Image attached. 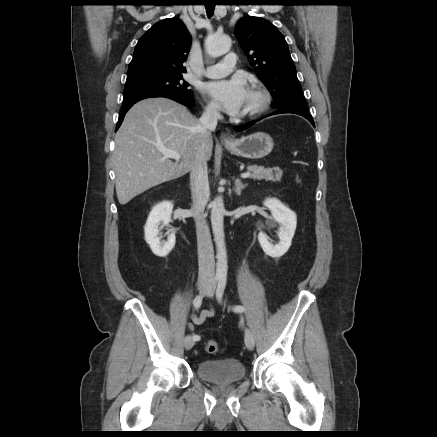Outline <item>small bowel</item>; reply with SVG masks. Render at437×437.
<instances>
[{
	"label": "small bowel",
	"instance_id": "c3829d8e",
	"mask_svg": "<svg viewBox=\"0 0 437 437\" xmlns=\"http://www.w3.org/2000/svg\"><path fill=\"white\" fill-rule=\"evenodd\" d=\"M215 314V311L213 308L203 310L200 314H191L190 320L191 323H189L188 327L189 329H193V325H201L205 322L206 319L213 317Z\"/></svg>",
	"mask_w": 437,
	"mask_h": 437
}]
</instances>
